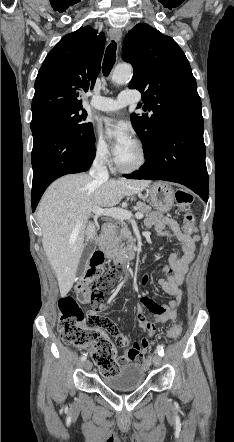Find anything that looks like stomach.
Listing matches in <instances>:
<instances>
[{"label":"stomach","instance_id":"obj_1","mask_svg":"<svg viewBox=\"0 0 234 442\" xmlns=\"http://www.w3.org/2000/svg\"><path fill=\"white\" fill-rule=\"evenodd\" d=\"M152 205L160 212H168L175 201L174 189L163 182L153 183L148 190Z\"/></svg>","mask_w":234,"mask_h":442}]
</instances>
